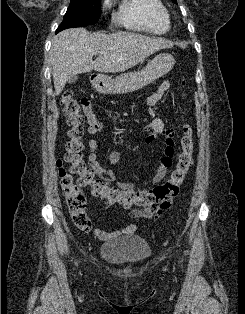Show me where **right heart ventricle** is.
<instances>
[{"label":"right heart ventricle","mask_w":245,"mask_h":314,"mask_svg":"<svg viewBox=\"0 0 245 314\" xmlns=\"http://www.w3.org/2000/svg\"><path fill=\"white\" fill-rule=\"evenodd\" d=\"M115 21L127 29L163 34L170 28L168 11L162 0H121Z\"/></svg>","instance_id":"1"}]
</instances>
